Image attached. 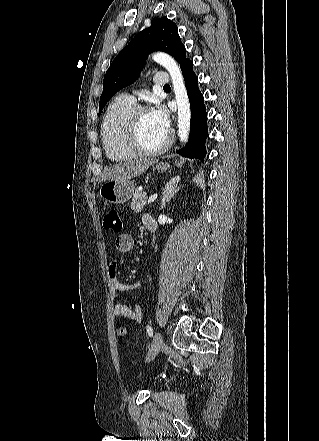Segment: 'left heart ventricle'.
Returning a JSON list of instances; mask_svg holds the SVG:
<instances>
[{
    "label": "left heart ventricle",
    "instance_id": "left-heart-ventricle-1",
    "mask_svg": "<svg viewBox=\"0 0 319 441\" xmlns=\"http://www.w3.org/2000/svg\"><path fill=\"white\" fill-rule=\"evenodd\" d=\"M168 131L163 130L154 120L150 112L143 113L139 124V140L147 149L159 147L167 137Z\"/></svg>",
    "mask_w": 319,
    "mask_h": 441
}]
</instances>
